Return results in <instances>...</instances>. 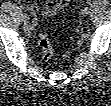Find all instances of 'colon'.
I'll use <instances>...</instances> for the list:
<instances>
[{
  "mask_svg": "<svg viewBox=\"0 0 111 106\" xmlns=\"http://www.w3.org/2000/svg\"><path fill=\"white\" fill-rule=\"evenodd\" d=\"M43 26H45V24H43ZM38 45L42 51L43 59L47 62L50 61L54 56V50L45 31L40 33L38 38Z\"/></svg>",
  "mask_w": 111,
  "mask_h": 106,
  "instance_id": "1",
  "label": "colon"
}]
</instances>
